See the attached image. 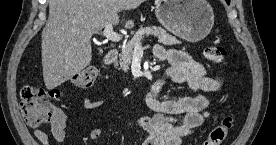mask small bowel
I'll return each instance as SVG.
<instances>
[{
	"label": "small bowel",
	"mask_w": 276,
	"mask_h": 145,
	"mask_svg": "<svg viewBox=\"0 0 276 145\" xmlns=\"http://www.w3.org/2000/svg\"><path fill=\"white\" fill-rule=\"evenodd\" d=\"M154 55L169 62L170 67L164 77L155 82L145 97L147 107L154 112L152 116L140 117L135 125L148 133L142 145H182L183 139L201 126L208 116L209 98L206 94L160 99L158 94L165 80L176 84H186L191 90L204 93L217 92L221 89L218 78L206 75L205 67L194 60L188 53L178 49H165L157 45ZM103 101L83 99L86 109H95ZM67 117L61 110H56L51 122L53 139L62 143L66 138ZM34 136L42 145H50L48 135L39 129L33 130ZM100 129H91L88 138L98 140Z\"/></svg>",
	"instance_id": "1"
}]
</instances>
